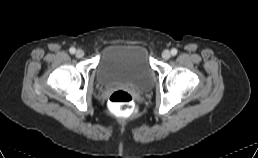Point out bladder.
<instances>
[{
	"label": "bladder",
	"mask_w": 258,
	"mask_h": 158,
	"mask_svg": "<svg viewBox=\"0 0 258 158\" xmlns=\"http://www.w3.org/2000/svg\"><path fill=\"white\" fill-rule=\"evenodd\" d=\"M153 77L148 50L142 44H111L100 55L97 81L101 85L125 83L146 89L152 84Z\"/></svg>",
	"instance_id": "obj_1"
}]
</instances>
